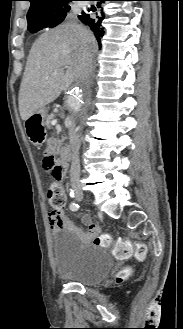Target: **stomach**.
I'll use <instances>...</instances> for the list:
<instances>
[{
	"label": "stomach",
	"mask_w": 183,
	"mask_h": 329,
	"mask_svg": "<svg viewBox=\"0 0 183 329\" xmlns=\"http://www.w3.org/2000/svg\"><path fill=\"white\" fill-rule=\"evenodd\" d=\"M48 112V109L45 107H42L41 109H39L37 111L36 115H40L42 118H44L46 116V113ZM41 142V141H40Z\"/></svg>",
	"instance_id": "obj_1"
}]
</instances>
